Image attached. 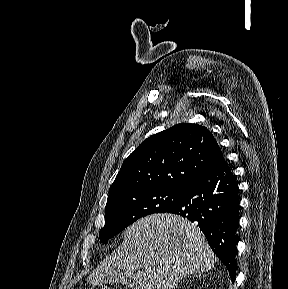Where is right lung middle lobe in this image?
Here are the masks:
<instances>
[{
	"label": "right lung middle lobe",
	"instance_id": "right-lung-middle-lobe-1",
	"mask_svg": "<svg viewBox=\"0 0 288 289\" xmlns=\"http://www.w3.org/2000/svg\"><path fill=\"white\" fill-rule=\"evenodd\" d=\"M185 188H149L127 190L107 199L105 226L99 232L102 243L114 237L141 217L153 213H164L182 198Z\"/></svg>",
	"mask_w": 288,
	"mask_h": 289
}]
</instances>
